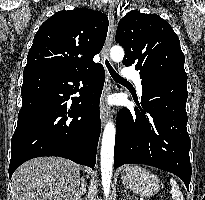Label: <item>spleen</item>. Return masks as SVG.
I'll return each instance as SVG.
<instances>
[{
    "mask_svg": "<svg viewBox=\"0 0 205 200\" xmlns=\"http://www.w3.org/2000/svg\"><path fill=\"white\" fill-rule=\"evenodd\" d=\"M170 185H171V195L173 200H183V194L182 191L180 190L177 182L171 178L170 179Z\"/></svg>",
    "mask_w": 205,
    "mask_h": 200,
    "instance_id": "3e777b00",
    "label": "spleen"
}]
</instances>
